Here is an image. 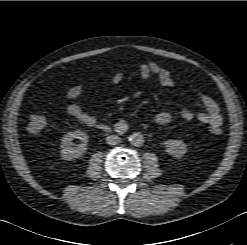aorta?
I'll use <instances>...</instances> for the list:
<instances>
[{"label":"aorta","instance_id":"762f6f07","mask_svg":"<svg viewBox=\"0 0 247 245\" xmlns=\"http://www.w3.org/2000/svg\"><path fill=\"white\" fill-rule=\"evenodd\" d=\"M130 143L135 147H140L144 143V137L141 133L134 132L129 137Z\"/></svg>","mask_w":247,"mask_h":245}]
</instances>
